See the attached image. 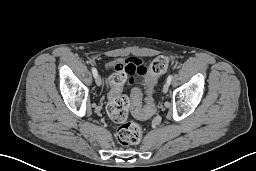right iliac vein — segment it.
<instances>
[{
    "mask_svg": "<svg viewBox=\"0 0 256 171\" xmlns=\"http://www.w3.org/2000/svg\"><path fill=\"white\" fill-rule=\"evenodd\" d=\"M95 81L98 86H100L102 84L101 76L99 74H97Z\"/></svg>",
    "mask_w": 256,
    "mask_h": 171,
    "instance_id": "63e3f726",
    "label": "right iliac vein"
}]
</instances>
